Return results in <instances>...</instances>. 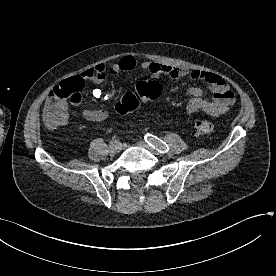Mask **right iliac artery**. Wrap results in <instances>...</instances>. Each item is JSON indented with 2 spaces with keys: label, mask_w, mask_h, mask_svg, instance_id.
Segmentation results:
<instances>
[{
  "label": "right iliac artery",
  "mask_w": 276,
  "mask_h": 276,
  "mask_svg": "<svg viewBox=\"0 0 276 276\" xmlns=\"http://www.w3.org/2000/svg\"><path fill=\"white\" fill-rule=\"evenodd\" d=\"M110 145H112V146H119V145H121V142L118 140V139H112L111 141H110Z\"/></svg>",
  "instance_id": "right-iliac-artery-1"
}]
</instances>
